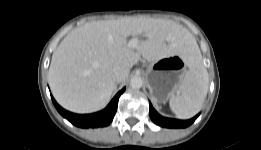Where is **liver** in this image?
<instances>
[{
	"label": "liver",
	"instance_id": "1",
	"mask_svg": "<svg viewBox=\"0 0 261 150\" xmlns=\"http://www.w3.org/2000/svg\"><path fill=\"white\" fill-rule=\"evenodd\" d=\"M144 39L136 48L129 36ZM183 26L163 19L124 17L94 21L68 33L54 51L48 72L57 102L75 113L102 109L115 89V66L132 68L142 57L154 62L175 54L187 60L195 44Z\"/></svg>",
	"mask_w": 261,
	"mask_h": 150
}]
</instances>
